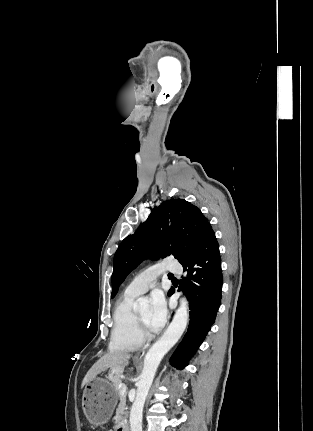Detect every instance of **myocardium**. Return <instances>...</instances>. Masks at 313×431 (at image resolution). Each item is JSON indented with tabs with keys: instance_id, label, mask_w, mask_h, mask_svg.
Wrapping results in <instances>:
<instances>
[{
	"instance_id": "1",
	"label": "myocardium",
	"mask_w": 313,
	"mask_h": 431,
	"mask_svg": "<svg viewBox=\"0 0 313 431\" xmlns=\"http://www.w3.org/2000/svg\"><path fill=\"white\" fill-rule=\"evenodd\" d=\"M136 317V328L137 334L142 341L149 340L152 338V333L146 328L143 320L141 319L138 312L135 314Z\"/></svg>"
}]
</instances>
